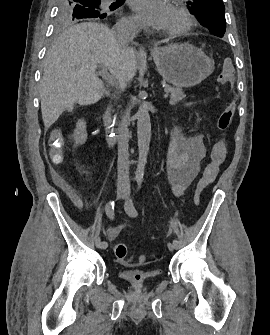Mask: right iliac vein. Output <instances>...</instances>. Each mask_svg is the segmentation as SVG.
I'll list each match as a JSON object with an SVG mask.
<instances>
[{"label": "right iliac vein", "mask_w": 270, "mask_h": 335, "mask_svg": "<svg viewBox=\"0 0 270 335\" xmlns=\"http://www.w3.org/2000/svg\"><path fill=\"white\" fill-rule=\"evenodd\" d=\"M126 194V188L124 185H119L118 188H117V197L118 198H124ZM95 245L97 248H101V238L98 237L96 238L95 240Z\"/></svg>", "instance_id": "63e3f726"}]
</instances>
